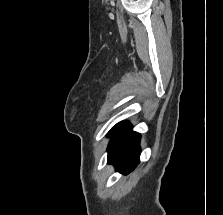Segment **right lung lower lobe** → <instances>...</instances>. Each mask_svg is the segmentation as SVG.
<instances>
[{"label":"right lung lower lobe","instance_id":"98d812e1","mask_svg":"<svg viewBox=\"0 0 223 215\" xmlns=\"http://www.w3.org/2000/svg\"><path fill=\"white\" fill-rule=\"evenodd\" d=\"M108 147V162L116 166L117 171L130 173L139 163L140 134L132 131L130 125L121 123L111 134Z\"/></svg>","mask_w":223,"mask_h":215}]
</instances>
